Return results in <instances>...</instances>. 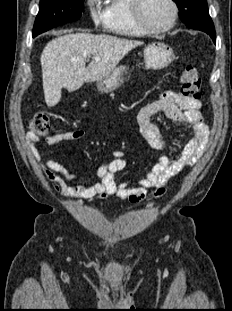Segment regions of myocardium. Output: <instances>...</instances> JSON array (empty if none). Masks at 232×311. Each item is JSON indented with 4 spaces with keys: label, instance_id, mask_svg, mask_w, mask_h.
<instances>
[{
    "label": "myocardium",
    "instance_id": "1",
    "mask_svg": "<svg viewBox=\"0 0 232 311\" xmlns=\"http://www.w3.org/2000/svg\"><path fill=\"white\" fill-rule=\"evenodd\" d=\"M144 0H131V13L133 16V19L137 26L142 29L145 33H150V34H159V33H164L169 30H171L178 19L179 15V9L178 5L175 0H168L172 7V18L170 22L160 28H154L151 27L144 19L143 17V12H142V5H143Z\"/></svg>",
    "mask_w": 232,
    "mask_h": 311
}]
</instances>
